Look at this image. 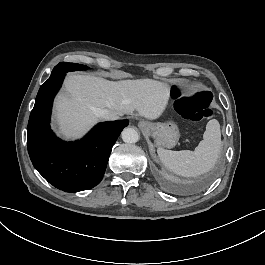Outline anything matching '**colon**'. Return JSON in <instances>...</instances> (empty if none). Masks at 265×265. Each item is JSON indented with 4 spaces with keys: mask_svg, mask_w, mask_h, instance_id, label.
Returning <instances> with one entry per match:
<instances>
[{
    "mask_svg": "<svg viewBox=\"0 0 265 265\" xmlns=\"http://www.w3.org/2000/svg\"><path fill=\"white\" fill-rule=\"evenodd\" d=\"M172 102L177 112L185 114L191 121L207 119L213 115L211 93L204 85H177L172 90Z\"/></svg>",
    "mask_w": 265,
    "mask_h": 265,
    "instance_id": "obj_1",
    "label": "colon"
}]
</instances>
